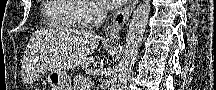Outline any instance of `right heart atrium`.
<instances>
[{"instance_id":"obj_1","label":"right heart atrium","mask_w":216,"mask_h":90,"mask_svg":"<svg viewBox=\"0 0 216 90\" xmlns=\"http://www.w3.org/2000/svg\"><path fill=\"white\" fill-rule=\"evenodd\" d=\"M98 13H99V10L97 7H90L84 12L83 19L84 20H96Z\"/></svg>"}]
</instances>
